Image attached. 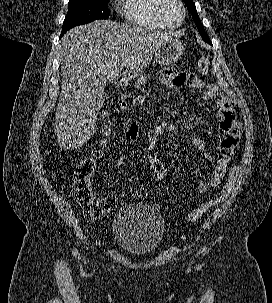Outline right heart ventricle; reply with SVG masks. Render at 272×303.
Here are the masks:
<instances>
[{"label":"right heart ventricle","mask_w":272,"mask_h":303,"mask_svg":"<svg viewBox=\"0 0 272 303\" xmlns=\"http://www.w3.org/2000/svg\"><path fill=\"white\" fill-rule=\"evenodd\" d=\"M158 0H121L125 19L132 25L164 29L165 25L156 15Z\"/></svg>","instance_id":"obj_1"}]
</instances>
